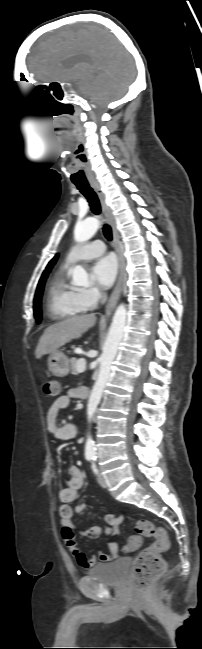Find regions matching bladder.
Wrapping results in <instances>:
<instances>
[{"mask_svg": "<svg viewBox=\"0 0 202 649\" xmlns=\"http://www.w3.org/2000/svg\"><path fill=\"white\" fill-rule=\"evenodd\" d=\"M129 558L122 557L108 563H98L88 569L89 576L108 585H118L126 577L129 569Z\"/></svg>", "mask_w": 202, "mask_h": 649, "instance_id": "1", "label": "bladder"}]
</instances>
